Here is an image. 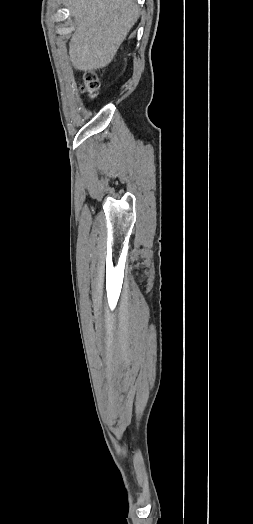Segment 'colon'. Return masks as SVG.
<instances>
[{
  "mask_svg": "<svg viewBox=\"0 0 253 524\" xmlns=\"http://www.w3.org/2000/svg\"><path fill=\"white\" fill-rule=\"evenodd\" d=\"M80 89L85 95L94 98L98 95L100 90V81L94 71H85L80 82Z\"/></svg>",
  "mask_w": 253,
  "mask_h": 524,
  "instance_id": "obj_1",
  "label": "colon"
}]
</instances>
